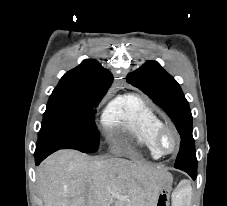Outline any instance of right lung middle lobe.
Wrapping results in <instances>:
<instances>
[{"instance_id": "right-lung-middle-lobe-1", "label": "right lung middle lobe", "mask_w": 227, "mask_h": 206, "mask_svg": "<svg viewBox=\"0 0 227 206\" xmlns=\"http://www.w3.org/2000/svg\"><path fill=\"white\" fill-rule=\"evenodd\" d=\"M102 98L53 92L43 114L35 152L59 149L96 152L99 135L94 108Z\"/></svg>"}]
</instances>
